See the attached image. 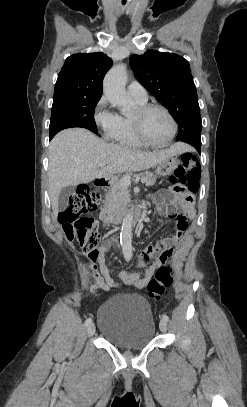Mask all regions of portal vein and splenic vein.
<instances>
[{
    "instance_id": "portal-vein-and-splenic-vein-1",
    "label": "portal vein and splenic vein",
    "mask_w": 247,
    "mask_h": 407,
    "mask_svg": "<svg viewBox=\"0 0 247 407\" xmlns=\"http://www.w3.org/2000/svg\"><path fill=\"white\" fill-rule=\"evenodd\" d=\"M105 165H106V163L103 162V163H100L99 166L102 167V166H105ZM122 181H123L124 184L129 185L131 183V178L129 176H126V177L122 178ZM142 182H144V180H142Z\"/></svg>"
}]
</instances>
